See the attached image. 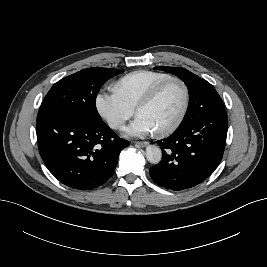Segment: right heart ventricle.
Segmentation results:
<instances>
[{"label":"right heart ventricle","mask_w":267,"mask_h":267,"mask_svg":"<svg viewBox=\"0 0 267 267\" xmlns=\"http://www.w3.org/2000/svg\"><path fill=\"white\" fill-rule=\"evenodd\" d=\"M168 77H170V75L163 72L151 70L133 71L116 81L114 84V91L130 106L135 108L155 84Z\"/></svg>","instance_id":"right-heart-ventricle-1"}]
</instances>
